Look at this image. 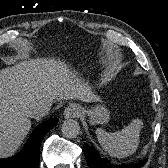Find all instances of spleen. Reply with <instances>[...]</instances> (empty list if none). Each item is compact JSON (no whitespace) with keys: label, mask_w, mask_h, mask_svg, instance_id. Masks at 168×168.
<instances>
[{"label":"spleen","mask_w":168,"mask_h":168,"mask_svg":"<svg viewBox=\"0 0 168 168\" xmlns=\"http://www.w3.org/2000/svg\"><path fill=\"white\" fill-rule=\"evenodd\" d=\"M142 125L141 120L135 119L120 131L109 133L98 128L96 134L99 143L109 155L124 158L137 150Z\"/></svg>","instance_id":"obj_1"}]
</instances>
